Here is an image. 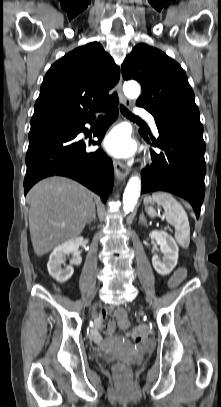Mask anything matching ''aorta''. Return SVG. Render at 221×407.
I'll list each match as a JSON object with an SVG mask.
<instances>
[{"label":"aorta","instance_id":"obj_1","mask_svg":"<svg viewBox=\"0 0 221 407\" xmlns=\"http://www.w3.org/2000/svg\"><path fill=\"white\" fill-rule=\"evenodd\" d=\"M123 90L128 98H138L140 95V86L135 81H128L124 84ZM141 180L138 176H132L125 188L123 194V210L129 213L133 210L140 196Z\"/></svg>","mask_w":221,"mask_h":407}]
</instances>
